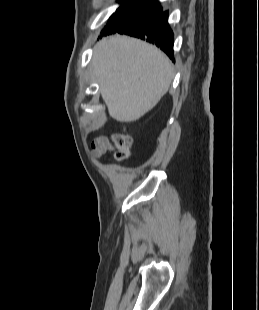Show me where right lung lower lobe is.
Instances as JSON below:
<instances>
[{
	"instance_id": "right-lung-lower-lobe-1",
	"label": "right lung lower lobe",
	"mask_w": 259,
	"mask_h": 310,
	"mask_svg": "<svg viewBox=\"0 0 259 310\" xmlns=\"http://www.w3.org/2000/svg\"><path fill=\"white\" fill-rule=\"evenodd\" d=\"M112 33L127 34L153 43L174 60V38L168 24V11L164 12L159 3L125 27Z\"/></svg>"
}]
</instances>
